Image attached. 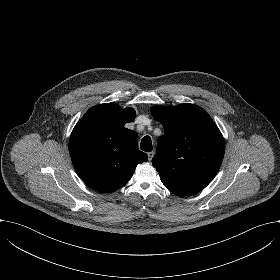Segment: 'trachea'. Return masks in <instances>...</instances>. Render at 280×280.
Listing matches in <instances>:
<instances>
[{
	"label": "trachea",
	"instance_id": "3493384b",
	"mask_svg": "<svg viewBox=\"0 0 280 280\" xmlns=\"http://www.w3.org/2000/svg\"><path fill=\"white\" fill-rule=\"evenodd\" d=\"M141 150L145 152H151L152 151V141L149 136H144L141 140Z\"/></svg>",
	"mask_w": 280,
	"mask_h": 280
}]
</instances>
